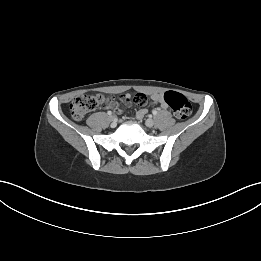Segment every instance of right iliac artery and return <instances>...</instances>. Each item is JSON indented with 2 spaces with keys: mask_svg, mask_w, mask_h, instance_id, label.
I'll list each match as a JSON object with an SVG mask.
<instances>
[{
  "mask_svg": "<svg viewBox=\"0 0 261 261\" xmlns=\"http://www.w3.org/2000/svg\"><path fill=\"white\" fill-rule=\"evenodd\" d=\"M107 114H108V115H112V112H111V111H108Z\"/></svg>",
  "mask_w": 261,
  "mask_h": 261,
  "instance_id": "1",
  "label": "right iliac artery"
}]
</instances>
